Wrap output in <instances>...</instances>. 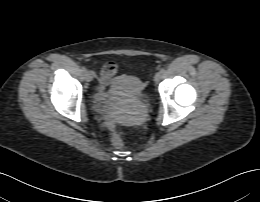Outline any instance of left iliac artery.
<instances>
[{
	"label": "left iliac artery",
	"instance_id": "44dca946",
	"mask_svg": "<svg viewBox=\"0 0 260 202\" xmlns=\"http://www.w3.org/2000/svg\"><path fill=\"white\" fill-rule=\"evenodd\" d=\"M160 72L163 74V73H165V69L164 68H161L160 69Z\"/></svg>",
	"mask_w": 260,
	"mask_h": 202
}]
</instances>
